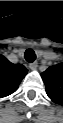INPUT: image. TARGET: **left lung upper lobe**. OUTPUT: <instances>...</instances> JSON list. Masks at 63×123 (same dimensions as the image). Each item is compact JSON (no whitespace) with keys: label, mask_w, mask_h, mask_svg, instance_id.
I'll use <instances>...</instances> for the list:
<instances>
[{"label":"left lung upper lobe","mask_w":63,"mask_h":123,"mask_svg":"<svg viewBox=\"0 0 63 123\" xmlns=\"http://www.w3.org/2000/svg\"><path fill=\"white\" fill-rule=\"evenodd\" d=\"M46 93L56 104H63V64L49 67L41 73Z\"/></svg>","instance_id":"5c2ea615"}]
</instances>
